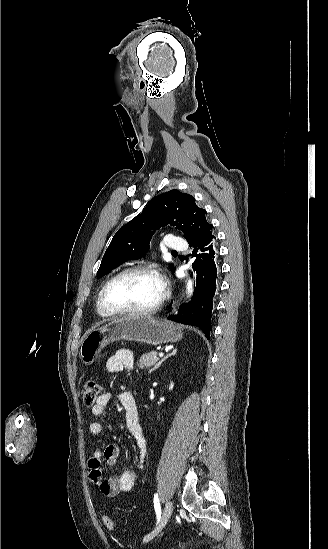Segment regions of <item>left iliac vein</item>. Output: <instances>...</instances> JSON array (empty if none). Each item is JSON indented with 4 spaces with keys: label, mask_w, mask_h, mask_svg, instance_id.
Instances as JSON below:
<instances>
[{
    "label": "left iliac vein",
    "mask_w": 328,
    "mask_h": 549,
    "mask_svg": "<svg viewBox=\"0 0 328 549\" xmlns=\"http://www.w3.org/2000/svg\"><path fill=\"white\" fill-rule=\"evenodd\" d=\"M172 510H173L172 501L168 500L163 510L161 523L159 524L158 528L148 538H146L143 541V544H147L150 540H152L155 536H157L159 532L165 527V525L167 524L172 514Z\"/></svg>",
    "instance_id": "4c4485c4"
}]
</instances>
